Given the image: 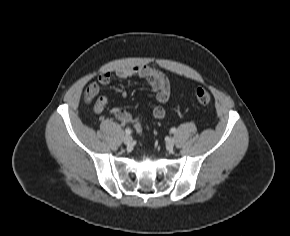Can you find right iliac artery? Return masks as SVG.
Segmentation results:
<instances>
[{
  "label": "right iliac artery",
  "mask_w": 290,
  "mask_h": 236,
  "mask_svg": "<svg viewBox=\"0 0 290 236\" xmlns=\"http://www.w3.org/2000/svg\"><path fill=\"white\" fill-rule=\"evenodd\" d=\"M125 133H126L127 135H130V134H131V130H130V129H126V130H125Z\"/></svg>",
  "instance_id": "right-iliac-artery-1"
}]
</instances>
